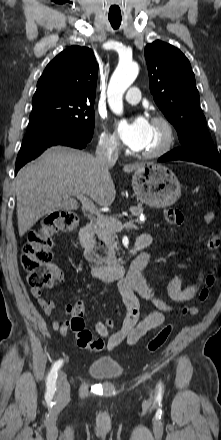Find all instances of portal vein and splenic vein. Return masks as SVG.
Here are the masks:
<instances>
[{
    "instance_id": "obj_1",
    "label": "portal vein and splenic vein",
    "mask_w": 221,
    "mask_h": 440,
    "mask_svg": "<svg viewBox=\"0 0 221 440\" xmlns=\"http://www.w3.org/2000/svg\"><path fill=\"white\" fill-rule=\"evenodd\" d=\"M77 198L81 201L83 208L88 211L89 213L96 215L99 219L101 220H105L107 222H109L115 231H121L124 227L126 228H133L135 227L133 221H128L124 224H122L121 222L117 221L116 219H111L108 216H105L103 213H101L97 207L94 205V203L92 202L91 199H89L87 196L83 195V194H78Z\"/></svg>"
}]
</instances>
